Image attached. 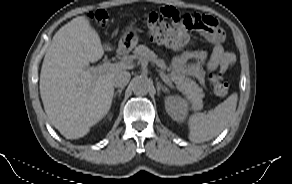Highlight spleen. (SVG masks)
<instances>
[{"label": "spleen", "mask_w": 292, "mask_h": 184, "mask_svg": "<svg viewBox=\"0 0 292 184\" xmlns=\"http://www.w3.org/2000/svg\"><path fill=\"white\" fill-rule=\"evenodd\" d=\"M237 100L238 95L233 93L207 114L190 115L187 121L190 141L201 143L219 135L235 113Z\"/></svg>", "instance_id": "3e777b00"}]
</instances>
